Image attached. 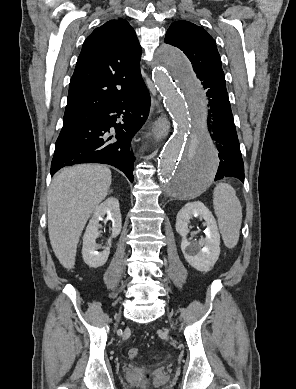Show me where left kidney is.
<instances>
[{"label": "left kidney", "instance_id": "5707ae66", "mask_svg": "<svg viewBox=\"0 0 296 389\" xmlns=\"http://www.w3.org/2000/svg\"><path fill=\"white\" fill-rule=\"evenodd\" d=\"M193 217L203 218L207 226L206 237L198 242L187 240L188 224ZM176 231L182 237L181 250L186 261L198 271H210L219 258L220 234L209 209L200 201L187 203L177 214Z\"/></svg>", "mask_w": 296, "mask_h": 389}]
</instances>
